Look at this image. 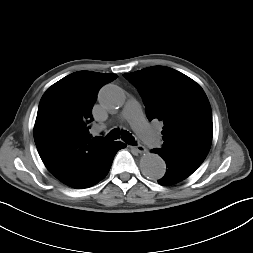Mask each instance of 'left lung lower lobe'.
<instances>
[{
	"label": "left lung lower lobe",
	"instance_id": "left-lung-lower-lobe-1",
	"mask_svg": "<svg viewBox=\"0 0 253 253\" xmlns=\"http://www.w3.org/2000/svg\"><path fill=\"white\" fill-rule=\"evenodd\" d=\"M152 152L160 155L166 162V174L158 180L161 185H172L190 176L203 162L198 158L175 154L160 149H153Z\"/></svg>",
	"mask_w": 253,
	"mask_h": 253
}]
</instances>
